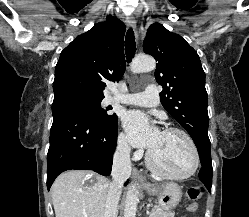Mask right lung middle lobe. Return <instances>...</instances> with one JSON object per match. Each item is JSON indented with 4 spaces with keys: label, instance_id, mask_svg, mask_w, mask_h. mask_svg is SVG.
Returning <instances> with one entry per match:
<instances>
[{
    "label": "right lung middle lobe",
    "instance_id": "right-lung-middle-lobe-1",
    "mask_svg": "<svg viewBox=\"0 0 249 217\" xmlns=\"http://www.w3.org/2000/svg\"><path fill=\"white\" fill-rule=\"evenodd\" d=\"M103 98H95L77 91H66L54 95L53 104L67 103L80 110L90 120L97 125L110 127L118 124L116 114H109L111 107L106 109L101 107Z\"/></svg>",
    "mask_w": 249,
    "mask_h": 217
}]
</instances>
